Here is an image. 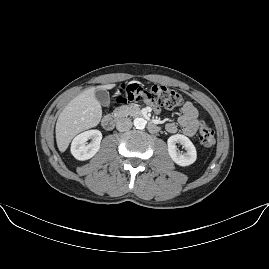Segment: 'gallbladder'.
Instances as JSON below:
<instances>
[{"instance_id":"1","label":"gallbladder","mask_w":269,"mask_h":269,"mask_svg":"<svg viewBox=\"0 0 269 269\" xmlns=\"http://www.w3.org/2000/svg\"><path fill=\"white\" fill-rule=\"evenodd\" d=\"M95 98L99 101L101 105L109 104V93L105 89H98L95 92Z\"/></svg>"}]
</instances>
